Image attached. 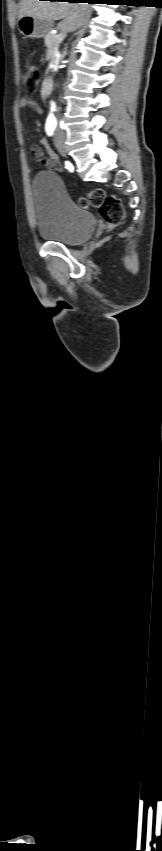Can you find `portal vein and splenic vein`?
Segmentation results:
<instances>
[{"label":"portal vein and splenic vein","mask_w":162,"mask_h":851,"mask_svg":"<svg viewBox=\"0 0 162 851\" xmlns=\"http://www.w3.org/2000/svg\"><path fill=\"white\" fill-rule=\"evenodd\" d=\"M57 38H58L59 40H62V39L64 38V32H62V33L58 34Z\"/></svg>","instance_id":"portal-vein-and-splenic-vein-1"}]
</instances>
